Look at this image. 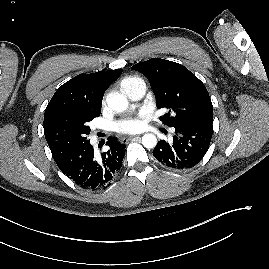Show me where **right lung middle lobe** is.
<instances>
[{
	"label": "right lung middle lobe",
	"mask_w": 269,
	"mask_h": 269,
	"mask_svg": "<svg viewBox=\"0 0 269 269\" xmlns=\"http://www.w3.org/2000/svg\"><path fill=\"white\" fill-rule=\"evenodd\" d=\"M99 115L60 111L48 118L44 134L54 159L89 142V123Z\"/></svg>",
	"instance_id": "dd1d6c3e"
}]
</instances>
